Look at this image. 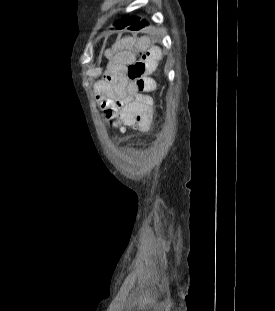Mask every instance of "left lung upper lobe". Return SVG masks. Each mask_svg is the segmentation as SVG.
<instances>
[{
    "label": "left lung upper lobe",
    "mask_w": 275,
    "mask_h": 311,
    "mask_svg": "<svg viewBox=\"0 0 275 311\" xmlns=\"http://www.w3.org/2000/svg\"><path fill=\"white\" fill-rule=\"evenodd\" d=\"M137 18L136 17H125L117 20L114 25L116 29H122L131 25Z\"/></svg>",
    "instance_id": "5c2ea615"
}]
</instances>
